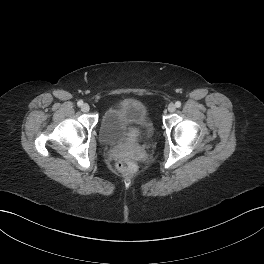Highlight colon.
Returning a JSON list of instances; mask_svg holds the SVG:
<instances>
[{"label": "colon", "mask_w": 264, "mask_h": 264, "mask_svg": "<svg viewBox=\"0 0 264 264\" xmlns=\"http://www.w3.org/2000/svg\"><path fill=\"white\" fill-rule=\"evenodd\" d=\"M117 168L122 174L127 176H131L137 171L136 165L129 160H120L117 163Z\"/></svg>", "instance_id": "5ec220e1"}]
</instances>
